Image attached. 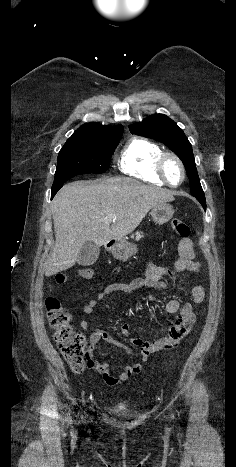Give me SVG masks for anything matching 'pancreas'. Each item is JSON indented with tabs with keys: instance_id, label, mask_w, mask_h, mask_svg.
Returning <instances> with one entry per match:
<instances>
[{
	"instance_id": "cf45deb5",
	"label": "pancreas",
	"mask_w": 236,
	"mask_h": 467,
	"mask_svg": "<svg viewBox=\"0 0 236 467\" xmlns=\"http://www.w3.org/2000/svg\"><path fill=\"white\" fill-rule=\"evenodd\" d=\"M143 237H144V235H143L142 232H138V231H137V232L135 233V240L138 241V240H140V239L143 238ZM131 238H134V234L131 235Z\"/></svg>"
}]
</instances>
